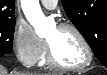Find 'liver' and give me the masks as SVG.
I'll use <instances>...</instances> for the list:
<instances>
[{"mask_svg":"<svg viewBox=\"0 0 107 75\" xmlns=\"http://www.w3.org/2000/svg\"><path fill=\"white\" fill-rule=\"evenodd\" d=\"M0 75H8L4 67L0 68ZM10 75H40V74H24V73L15 72L14 74H10Z\"/></svg>","mask_w":107,"mask_h":75,"instance_id":"obj_1","label":"liver"}]
</instances>
